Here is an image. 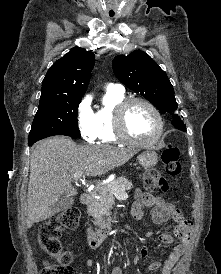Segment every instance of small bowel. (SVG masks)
Returning <instances> with one entry per match:
<instances>
[{"mask_svg": "<svg viewBox=\"0 0 221 274\" xmlns=\"http://www.w3.org/2000/svg\"><path fill=\"white\" fill-rule=\"evenodd\" d=\"M151 208L152 221L155 224H161L171 219L175 224L174 234L163 233L159 236V242L162 244H171L177 239L178 243L172 251L166 256L163 263L153 261L149 264L150 271L161 269V274H171L173 267L183 255L186 245L191 236V224L187 221L181 211L172 203L166 202L160 197H154L148 193L139 190L135 192V201L131 207V214L135 219H142L144 216V208ZM141 257H146L147 247H142ZM93 262L87 261V265L91 266ZM111 274H125L123 268L115 267Z\"/></svg>", "mask_w": 221, "mask_h": 274, "instance_id": "obj_1", "label": "small bowel"}]
</instances>
